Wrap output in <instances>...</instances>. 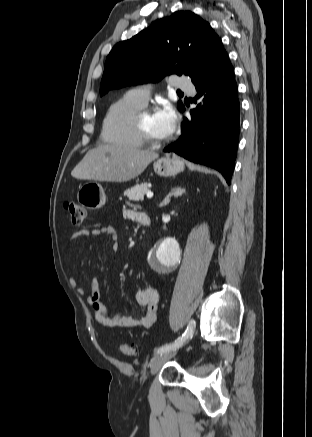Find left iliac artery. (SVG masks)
<instances>
[{
    "mask_svg": "<svg viewBox=\"0 0 312 437\" xmlns=\"http://www.w3.org/2000/svg\"><path fill=\"white\" fill-rule=\"evenodd\" d=\"M194 326H195V321L191 320L187 326V329L185 330V332L182 334L181 337L177 338L173 343H169L159 347L156 350V354H163L172 349L179 348L185 340L192 337Z\"/></svg>",
    "mask_w": 312,
    "mask_h": 437,
    "instance_id": "left-iliac-artery-1",
    "label": "left iliac artery"
}]
</instances>
